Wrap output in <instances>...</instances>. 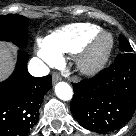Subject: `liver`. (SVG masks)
Instances as JSON below:
<instances>
[{
  "mask_svg": "<svg viewBox=\"0 0 136 136\" xmlns=\"http://www.w3.org/2000/svg\"><path fill=\"white\" fill-rule=\"evenodd\" d=\"M15 64V56L11 46L0 43V81L5 79L12 71Z\"/></svg>",
  "mask_w": 136,
  "mask_h": 136,
  "instance_id": "obj_1",
  "label": "liver"
}]
</instances>
